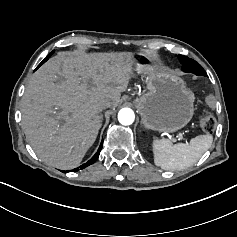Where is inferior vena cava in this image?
<instances>
[{
  "label": "inferior vena cava",
  "mask_w": 237,
  "mask_h": 237,
  "mask_svg": "<svg viewBox=\"0 0 237 237\" xmlns=\"http://www.w3.org/2000/svg\"><path fill=\"white\" fill-rule=\"evenodd\" d=\"M100 106L102 109H106L111 107V102L109 100H102L100 101Z\"/></svg>",
  "instance_id": "obj_1"
}]
</instances>
